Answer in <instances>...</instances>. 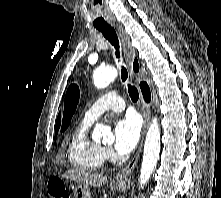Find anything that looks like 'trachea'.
Instances as JSON below:
<instances>
[{
  "instance_id": "obj_1",
  "label": "trachea",
  "mask_w": 221,
  "mask_h": 198,
  "mask_svg": "<svg viewBox=\"0 0 221 198\" xmlns=\"http://www.w3.org/2000/svg\"><path fill=\"white\" fill-rule=\"evenodd\" d=\"M97 29L99 31H101L103 36L114 46V48L116 49L115 55L119 59L120 58L119 40H118V37H117V34H116L115 30L110 26L99 27ZM121 78H122L123 82H125L128 78V72H127V69L125 67H122V69H121ZM128 93H129L132 101L136 102L138 100L139 93H138L137 89L134 86L130 85V84H128Z\"/></svg>"
}]
</instances>
